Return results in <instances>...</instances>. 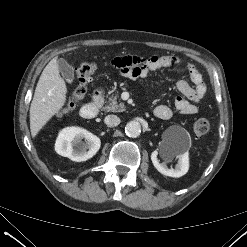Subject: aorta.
Returning a JSON list of instances; mask_svg holds the SVG:
<instances>
[{
    "mask_svg": "<svg viewBox=\"0 0 247 247\" xmlns=\"http://www.w3.org/2000/svg\"><path fill=\"white\" fill-rule=\"evenodd\" d=\"M125 133L129 137H138L141 134V125L137 121H130L125 126Z\"/></svg>",
    "mask_w": 247,
    "mask_h": 247,
    "instance_id": "1",
    "label": "aorta"
}]
</instances>
